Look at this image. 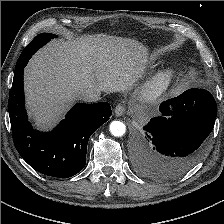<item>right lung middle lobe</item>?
<instances>
[{
  "instance_id": "dd1d6c3e",
  "label": "right lung middle lobe",
  "mask_w": 224,
  "mask_h": 224,
  "mask_svg": "<svg viewBox=\"0 0 224 224\" xmlns=\"http://www.w3.org/2000/svg\"><path fill=\"white\" fill-rule=\"evenodd\" d=\"M55 34L51 33H41L37 35L32 42L22 51L20 58H23L28 55H33L40 47L44 46L51 39L56 38ZM19 58V59H20Z\"/></svg>"
}]
</instances>
